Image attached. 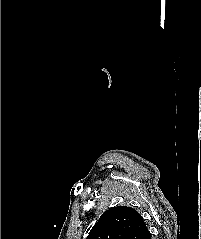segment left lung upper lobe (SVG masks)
Returning <instances> with one entry per match:
<instances>
[{
  "instance_id": "obj_1",
  "label": "left lung upper lobe",
  "mask_w": 201,
  "mask_h": 239,
  "mask_svg": "<svg viewBox=\"0 0 201 239\" xmlns=\"http://www.w3.org/2000/svg\"><path fill=\"white\" fill-rule=\"evenodd\" d=\"M143 218L133 208L117 206L106 210L86 239H148Z\"/></svg>"
}]
</instances>
